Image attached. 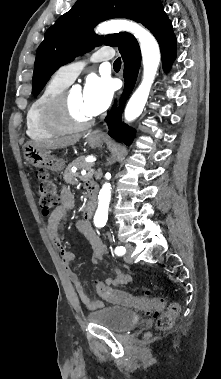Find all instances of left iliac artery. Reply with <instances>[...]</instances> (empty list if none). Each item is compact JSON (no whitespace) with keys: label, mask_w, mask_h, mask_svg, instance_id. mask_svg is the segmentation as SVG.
Listing matches in <instances>:
<instances>
[{"label":"left iliac artery","mask_w":221,"mask_h":379,"mask_svg":"<svg viewBox=\"0 0 221 379\" xmlns=\"http://www.w3.org/2000/svg\"><path fill=\"white\" fill-rule=\"evenodd\" d=\"M126 253V249L123 246H117L115 248V254L118 256H122Z\"/></svg>","instance_id":"left-iliac-artery-1"}]
</instances>
